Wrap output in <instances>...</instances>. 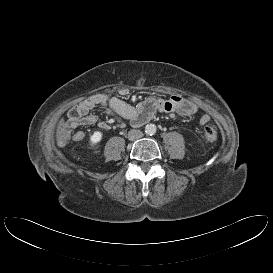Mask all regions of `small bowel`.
I'll return each mask as SVG.
<instances>
[{"instance_id": "obj_1", "label": "small bowel", "mask_w": 273, "mask_h": 273, "mask_svg": "<svg viewBox=\"0 0 273 273\" xmlns=\"http://www.w3.org/2000/svg\"><path fill=\"white\" fill-rule=\"evenodd\" d=\"M123 94H127V91L124 90ZM96 106L104 107L105 112L114 117L117 121L128 120L135 127L146 123L156 112H176L183 117H189L198 110L194 102L180 96H172L168 100L147 98L137 105H131L120 98L98 94L69 110V125L74 129L95 124L102 129L109 128L107 122H99L98 117L95 114H91V111ZM209 120L210 117L207 114L200 117V123L202 125L209 122ZM84 137L85 133L81 130H78L74 135L76 141H80Z\"/></svg>"}]
</instances>
